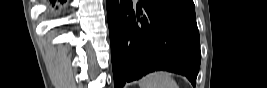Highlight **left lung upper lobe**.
I'll use <instances>...</instances> for the list:
<instances>
[{
  "instance_id": "obj_1",
  "label": "left lung upper lobe",
  "mask_w": 267,
  "mask_h": 88,
  "mask_svg": "<svg viewBox=\"0 0 267 88\" xmlns=\"http://www.w3.org/2000/svg\"><path fill=\"white\" fill-rule=\"evenodd\" d=\"M173 3H176L178 5L190 8V9H195L193 0H167Z\"/></svg>"
}]
</instances>
